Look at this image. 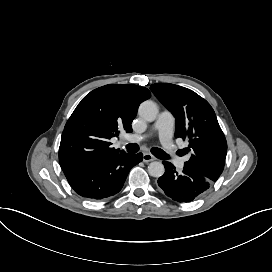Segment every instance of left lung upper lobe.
<instances>
[{
  "label": "left lung upper lobe",
  "instance_id": "5c2ea615",
  "mask_svg": "<svg viewBox=\"0 0 272 272\" xmlns=\"http://www.w3.org/2000/svg\"><path fill=\"white\" fill-rule=\"evenodd\" d=\"M151 90L175 116V136L189 141L187 152L192 150V155L184 168L215 182L224 169L227 142L210 104L192 90L174 84L156 83Z\"/></svg>",
  "mask_w": 272,
  "mask_h": 272
}]
</instances>
